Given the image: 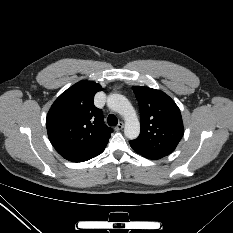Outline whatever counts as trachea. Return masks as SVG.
<instances>
[{
	"label": "trachea",
	"instance_id": "trachea-1",
	"mask_svg": "<svg viewBox=\"0 0 233 233\" xmlns=\"http://www.w3.org/2000/svg\"><path fill=\"white\" fill-rule=\"evenodd\" d=\"M107 123L109 126H116L118 123V119L114 114H110L107 118Z\"/></svg>",
	"mask_w": 233,
	"mask_h": 233
}]
</instances>
